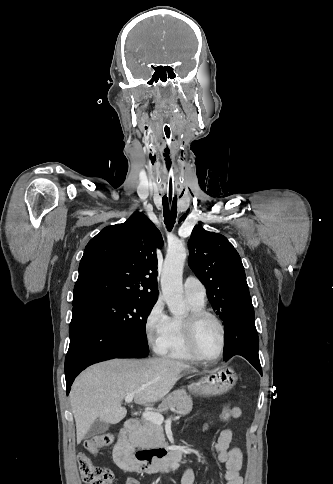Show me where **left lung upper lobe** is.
<instances>
[{
    "instance_id": "1",
    "label": "left lung upper lobe",
    "mask_w": 333,
    "mask_h": 484,
    "mask_svg": "<svg viewBox=\"0 0 333 484\" xmlns=\"http://www.w3.org/2000/svg\"><path fill=\"white\" fill-rule=\"evenodd\" d=\"M188 246L189 265L225 322L236 306L251 299L241 258L225 236L208 232L201 225L194 227Z\"/></svg>"
}]
</instances>
